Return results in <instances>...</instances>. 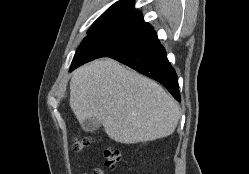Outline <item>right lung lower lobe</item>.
<instances>
[{
  "label": "right lung lower lobe",
  "instance_id": "right-lung-lower-lobe-1",
  "mask_svg": "<svg viewBox=\"0 0 249 174\" xmlns=\"http://www.w3.org/2000/svg\"><path fill=\"white\" fill-rule=\"evenodd\" d=\"M110 58L158 81L168 89L176 100H181L176 72L168 61L165 48L158 40L153 28L144 43Z\"/></svg>",
  "mask_w": 249,
  "mask_h": 174
}]
</instances>
